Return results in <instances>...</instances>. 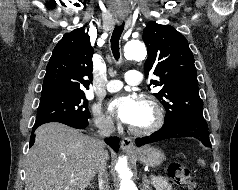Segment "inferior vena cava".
<instances>
[{
  "instance_id": "602c4592",
  "label": "inferior vena cava",
  "mask_w": 238,
  "mask_h": 190,
  "mask_svg": "<svg viewBox=\"0 0 238 190\" xmlns=\"http://www.w3.org/2000/svg\"><path fill=\"white\" fill-rule=\"evenodd\" d=\"M95 125L98 128L99 139H97V171L100 190H108V174L106 171V151L104 150L103 138L110 136L114 131V123L111 118L100 117L96 119Z\"/></svg>"
}]
</instances>
